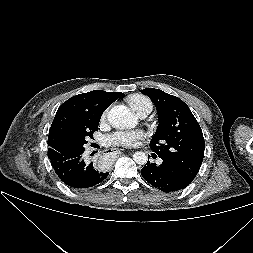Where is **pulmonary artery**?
<instances>
[{
  "label": "pulmonary artery",
  "mask_w": 253,
  "mask_h": 253,
  "mask_svg": "<svg viewBox=\"0 0 253 253\" xmlns=\"http://www.w3.org/2000/svg\"><path fill=\"white\" fill-rule=\"evenodd\" d=\"M150 112H151V109H150V108H149V109H144V110L140 111V112L138 113V115H139L141 118H144V117H146ZM158 162L161 163V160H159Z\"/></svg>",
  "instance_id": "1"
}]
</instances>
